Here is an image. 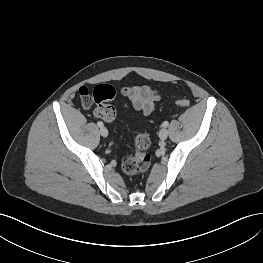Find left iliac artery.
I'll return each instance as SVG.
<instances>
[{"mask_svg":"<svg viewBox=\"0 0 263 263\" xmlns=\"http://www.w3.org/2000/svg\"><path fill=\"white\" fill-rule=\"evenodd\" d=\"M168 124H169L168 121H164L163 124H162V126H163V127H167Z\"/></svg>","mask_w":263,"mask_h":263,"instance_id":"left-iliac-artery-1","label":"left iliac artery"}]
</instances>
